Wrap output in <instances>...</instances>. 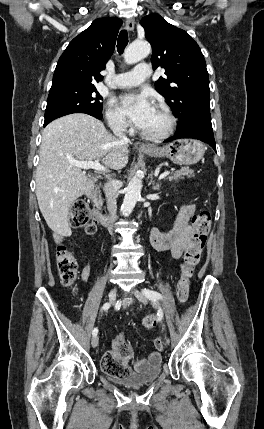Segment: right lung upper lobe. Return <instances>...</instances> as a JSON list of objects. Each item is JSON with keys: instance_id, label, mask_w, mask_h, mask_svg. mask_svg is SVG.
I'll use <instances>...</instances> for the list:
<instances>
[{"instance_id": "obj_1", "label": "right lung upper lobe", "mask_w": 264, "mask_h": 429, "mask_svg": "<svg viewBox=\"0 0 264 429\" xmlns=\"http://www.w3.org/2000/svg\"><path fill=\"white\" fill-rule=\"evenodd\" d=\"M121 25L119 18L96 19L75 37L59 58L51 89L101 81L100 71L113 54Z\"/></svg>"}]
</instances>
